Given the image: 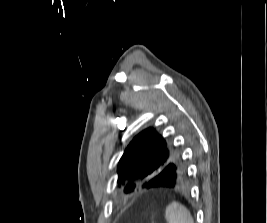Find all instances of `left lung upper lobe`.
I'll use <instances>...</instances> for the list:
<instances>
[{
	"label": "left lung upper lobe",
	"instance_id": "1",
	"mask_svg": "<svg viewBox=\"0 0 267 223\" xmlns=\"http://www.w3.org/2000/svg\"><path fill=\"white\" fill-rule=\"evenodd\" d=\"M186 171L180 153L170 140H165L154 128L139 133L128 145L118 164V186L133 193L139 183L153 180V173Z\"/></svg>",
	"mask_w": 267,
	"mask_h": 223
}]
</instances>
